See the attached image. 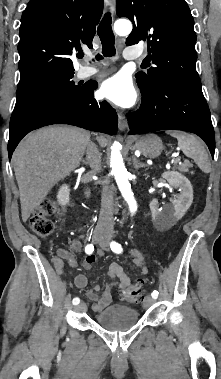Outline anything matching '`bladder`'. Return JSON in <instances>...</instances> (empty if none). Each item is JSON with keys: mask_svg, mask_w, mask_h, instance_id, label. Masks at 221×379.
I'll list each match as a JSON object with an SVG mask.
<instances>
[{"mask_svg": "<svg viewBox=\"0 0 221 379\" xmlns=\"http://www.w3.org/2000/svg\"><path fill=\"white\" fill-rule=\"evenodd\" d=\"M94 319L102 328L119 332L136 325L139 320V313L133 307L123 304H113L97 313Z\"/></svg>", "mask_w": 221, "mask_h": 379, "instance_id": "1", "label": "bladder"}]
</instances>
